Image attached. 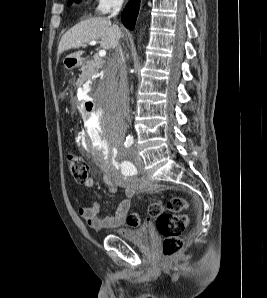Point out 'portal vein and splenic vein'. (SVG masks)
Segmentation results:
<instances>
[{
  "label": "portal vein and splenic vein",
  "instance_id": "portal-vein-and-splenic-vein-1",
  "mask_svg": "<svg viewBox=\"0 0 267 298\" xmlns=\"http://www.w3.org/2000/svg\"><path fill=\"white\" fill-rule=\"evenodd\" d=\"M89 44L90 45H96V41L95 40H92V41L89 42ZM105 55H106L105 49H102V50L99 51V56L100 57H104Z\"/></svg>",
  "mask_w": 267,
  "mask_h": 298
}]
</instances>
